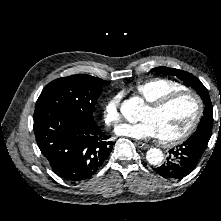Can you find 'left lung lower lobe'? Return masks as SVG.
<instances>
[{
	"instance_id": "left-lung-lower-lobe-1",
	"label": "left lung lower lobe",
	"mask_w": 221,
	"mask_h": 221,
	"mask_svg": "<svg viewBox=\"0 0 221 221\" xmlns=\"http://www.w3.org/2000/svg\"><path fill=\"white\" fill-rule=\"evenodd\" d=\"M211 133H194L187 141L169 151L167 161L155 172L168 179H181L190 174L197 166L205 151Z\"/></svg>"
}]
</instances>
